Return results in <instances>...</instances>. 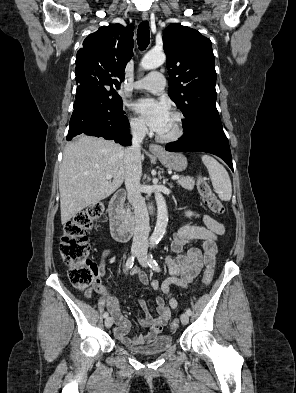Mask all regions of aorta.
Returning a JSON list of instances; mask_svg holds the SVG:
<instances>
[{
    "label": "aorta",
    "mask_w": 296,
    "mask_h": 393,
    "mask_svg": "<svg viewBox=\"0 0 296 393\" xmlns=\"http://www.w3.org/2000/svg\"><path fill=\"white\" fill-rule=\"evenodd\" d=\"M165 54L162 51H149L141 60V67L145 70L158 68L165 62ZM157 204V221L155 229L150 237L151 243H157L163 237L167 223L168 211L166 201L161 193H155Z\"/></svg>",
    "instance_id": "obj_1"
}]
</instances>
